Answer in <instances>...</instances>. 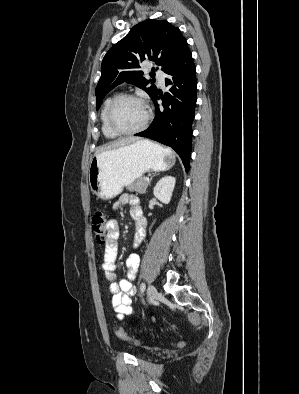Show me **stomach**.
<instances>
[{
    "label": "stomach",
    "instance_id": "stomach-1",
    "mask_svg": "<svg viewBox=\"0 0 299 394\" xmlns=\"http://www.w3.org/2000/svg\"><path fill=\"white\" fill-rule=\"evenodd\" d=\"M174 163L175 155L171 150L148 140H138L96 154L88 170L89 186L98 198L110 199L145 172L165 171Z\"/></svg>",
    "mask_w": 299,
    "mask_h": 394
}]
</instances>
